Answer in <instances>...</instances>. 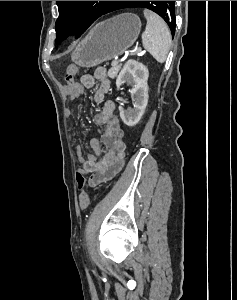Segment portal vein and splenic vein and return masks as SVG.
I'll use <instances>...</instances> for the list:
<instances>
[{"label": "portal vein and splenic vein", "instance_id": "1", "mask_svg": "<svg viewBox=\"0 0 237 300\" xmlns=\"http://www.w3.org/2000/svg\"><path fill=\"white\" fill-rule=\"evenodd\" d=\"M119 59H115V60H113L111 63L113 64V66H119V61H118ZM112 66V67H113Z\"/></svg>", "mask_w": 237, "mask_h": 300}]
</instances>
